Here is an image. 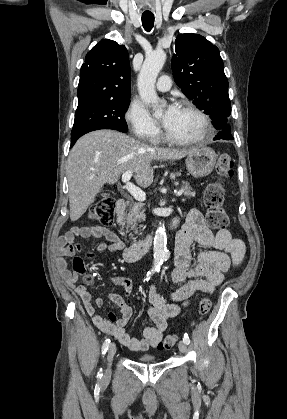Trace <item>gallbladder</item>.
Segmentation results:
<instances>
[{"label":"gallbladder","mask_w":287,"mask_h":419,"mask_svg":"<svg viewBox=\"0 0 287 419\" xmlns=\"http://www.w3.org/2000/svg\"><path fill=\"white\" fill-rule=\"evenodd\" d=\"M105 195H107L106 193L105 194H102V196H105Z\"/></svg>","instance_id":"obj_1"}]
</instances>
